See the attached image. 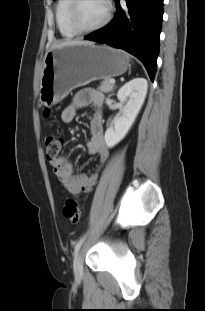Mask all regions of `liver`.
<instances>
[{
  "instance_id": "6515ba94",
  "label": "liver",
  "mask_w": 205,
  "mask_h": 311,
  "mask_svg": "<svg viewBox=\"0 0 205 311\" xmlns=\"http://www.w3.org/2000/svg\"><path fill=\"white\" fill-rule=\"evenodd\" d=\"M73 44H93L91 41H81V40H64L60 42H56L52 45L53 48L63 47L66 45H73Z\"/></svg>"
}]
</instances>
